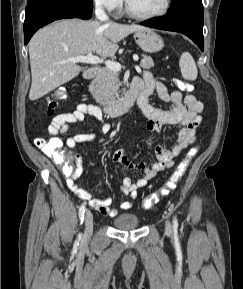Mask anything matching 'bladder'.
I'll list each match as a JSON object with an SVG mask.
<instances>
[{
  "mask_svg": "<svg viewBox=\"0 0 243 289\" xmlns=\"http://www.w3.org/2000/svg\"><path fill=\"white\" fill-rule=\"evenodd\" d=\"M113 225L120 230H131L139 226V219L135 214L124 213L113 220Z\"/></svg>",
  "mask_w": 243,
  "mask_h": 289,
  "instance_id": "obj_1",
  "label": "bladder"
}]
</instances>
